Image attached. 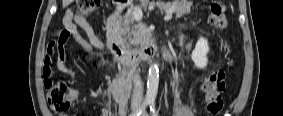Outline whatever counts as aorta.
Masks as SVG:
<instances>
[{
	"label": "aorta",
	"mask_w": 283,
	"mask_h": 116,
	"mask_svg": "<svg viewBox=\"0 0 283 116\" xmlns=\"http://www.w3.org/2000/svg\"><path fill=\"white\" fill-rule=\"evenodd\" d=\"M159 85V68L156 63H152L149 67L148 81H147V92L145 100L148 103H154Z\"/></svg>",
	"instance_id": "762f6f07"
}]
</instances>
